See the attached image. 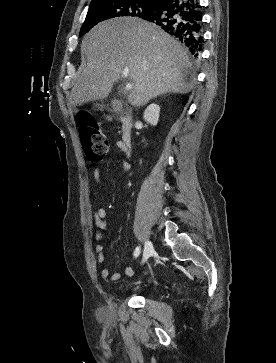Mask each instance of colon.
<instances>
[{
	"instance_id": "5ec220e1",
	"label": "colon",
	"mask_w": 276,
	"mask_h": 363,
	"mask_svg": "<svg viewBox=\"0 0 276 363\" xmlns=\"http://www.w3.org/2000/svg\"><path fill=\"white\" fill-rule=\"evenodd\" d=\"M84 153L90 161L101 160L108 151V140L94 117L82 113L78 117Z\"/></svg>"
}]
</instances>
